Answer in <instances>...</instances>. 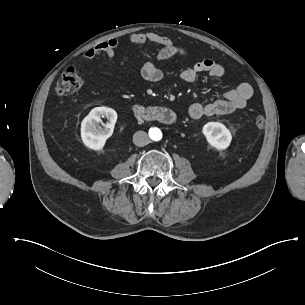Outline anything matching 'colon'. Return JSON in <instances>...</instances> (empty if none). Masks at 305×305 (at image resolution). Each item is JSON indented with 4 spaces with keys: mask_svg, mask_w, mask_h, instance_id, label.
<instances>
[{
    "mask_svg": "<svg viewBox=\"0 0 305 305\" xmlns=\"http://www.w3.org/2000/svg\"><path fill=\"white\" fill-rule=\"evenodd\" d=\"M81 84L82 79L80 75L74 69H68L57 82L55 91L59 96L64 97L77 91ZM255 123L258 127H263L265 125V118L262 115H257Z\"/></svg>",
    "mask_w": 305,
    "mask_h": 305,
    "instance_id": "5ec220e1",
    "label": "colon"
}]
</instances>
